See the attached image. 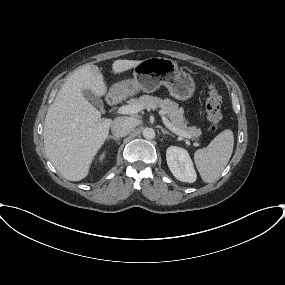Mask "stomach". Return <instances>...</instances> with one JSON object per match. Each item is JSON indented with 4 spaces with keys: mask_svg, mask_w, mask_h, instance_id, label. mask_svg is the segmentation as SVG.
Masks as SVG:
<instances>
[{
    "mask_svg": "<svg viewBox=\"0 0 285 285\" xmlns=\"http://www.w3.org/2000/svg\"><path fill=\"white\" fill-rule=\"evenodd\" d=\"M133 79L124 80L113 85L116 94L133 95L140 90L151 93L164 85L170 95L177 100H187L195 91L193 78L179 70L175 61L164 57H150L134 67Z\"/></svg>",
    "mask_w": 285,
    "mask_h": 285,
    "instance_id": "obj_1",
    "label": "stomach"
}]
</instances>
